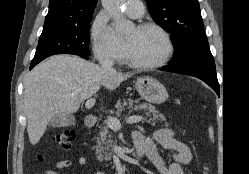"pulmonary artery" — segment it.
Listing matches in <instances>:
<instances>
[{
  "label": "pulmonary artery",
  "mask_w": 249,
  "mask_h": 174,
  "mask_svg": "<svg viewBox=\"0 0 249 174\" xmlns=\"http://www.w3.org/2000/svg\"><path fill=\"white\" fill-rule=\"evenodd\" d=\"M144 5L141 0H126L125 11L131 18H139L142 16Z\"/></svg>",
  "instance_id": "pulmonary-artery-1"
}]
</instances>
